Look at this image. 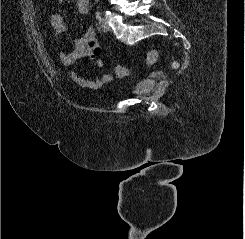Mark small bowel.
<instances>
[{"label":"small bowel","mask_w":245,"mask_h":239,"mask_svg":"<svg viewBox=\"0 0 245 239\" xmlns=\"http://www.w3.org/2000/svg\"><path fill=\"white\" fill-rule=\"evenodd\" d=\"M57 1L62 2L63 0ZM76 8L79 14L83 16L88 15L90 11L89 0H77ZM50 22L55 35H59L66 30L62 13H53ZM101 51L102 49L97 39L96 30L94 27L90 26L81 37L74 41V46L71 51L61 53L60 60L68 69L69 78L74 83L83 88L97 90L111 83L114 79V75L111 73H101L94 78L82 77L76 70L75 63L79 60L86 59L96 68H102L105 62L100 58Z\"/></svg>","instance_id":"obj_1"}]
</instances>
